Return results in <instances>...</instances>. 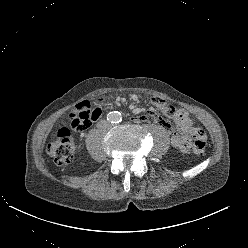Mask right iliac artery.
I'll list each match as a JSON object with an SVG mask.
<instances>
[{
    "instance_id": "obj_1",
    "label": "right iliac artery",
    "mask_w": 248,
    "mask_h": 248,
    "mask_svg": "<svg viewBox=\"0 0 248 248\" xmlns=\"http://www.w3.org/2000/svg\"><path fill=\"white\" fill-rule=\"evenodd\" d=\"M109 118L111 119V118H112V116L110 115V116H109Z\"/></svg>"
}]
</instances>
